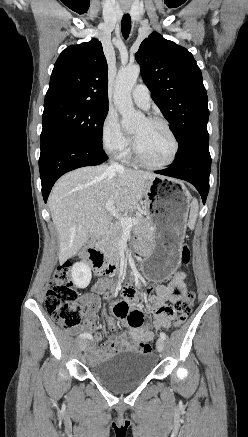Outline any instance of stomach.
Returning <instances> with one entry per match:
<instances>
[{
  "mask_svg": "<svg viewBox=\"0 0 248 437\" xmlns=\"http://www.w3.org/2000/svg\"><path fill=\"white\" fill-rule=\"evenodd\" d=\"M145 205L152 227L151 255L141 262L153 286H162L179 263L180 249L186 230L190 196L184 184L156 177L150 180L145 194Z\"/></svg>",
  "mask_w": 248,
  "mask_h": 437,
  "instance_id": "obj_1",
  "label": "stomach"
}]
</instances>
